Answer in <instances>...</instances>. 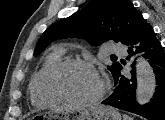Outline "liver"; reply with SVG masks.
<instances>
[{
	"label": "liver",
	"instance_id": "6515ba94",
	"mask_svg": "<svg viewBox=\"0 0 165 120\" xmlns=\"http://www.w3.org/2000/svg\"><path fill=\"white\" fill-rule=\"evenodd\" d=\"M61 110H64V108H61V109H57V111H61Z\"/></svg>",
	"mask_w": 165,
	"mask_h": 120
}]
</instances>
